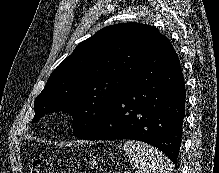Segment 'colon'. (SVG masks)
I'll list each match as a JSON object with an SVG mask.
<instances>
[{
    "instance_id": "5ec220e1",
    "label": "colon",
    "mask_w": 219,
    "mask_h": 173,
    "mask_svg": "<svg viewBox=\"0 0 219 173\" xmlns=\"http://www.w3.org/2000/svg\"><path fill=\"white\" fill-rule=\"evenodd\" d=\"M31 173H52V164L46 159H37L34 161Z\"/></svg>"
}]
</instances>
